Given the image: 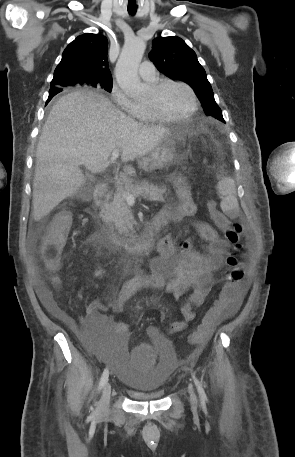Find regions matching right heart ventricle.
I'll use <instances>...</instances> for the list:
<instances>
[{"mask_svg":"<svg viewBox=\"0 0 295 457\" xmlns=\"http://www.w3.org/2000/svg\"><path fill=\"white\" fill-rule=\"evenodd\" d=\"M138 106H139V111H138V114L136 115V118L143 123H153L155 120L149 114L146 107L143 105H138Z\"/></svg>","mask_w":295,"mask_h":457,"instance_id":"obj_1","label":"right heart ventricle"}]
</instances>
